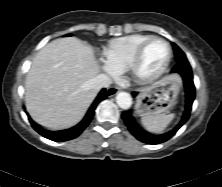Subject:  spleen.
Returning a JSON list of instances; mask_svg holds the SVG:
<instances>
[{
    "instance_id": "3e777b00",
    "label": "spleen",
    "mask_w": 222,
    "mask_h": 187,
    "mask_svg": "<svg viewBox=\"0 0 222 187\" xmlns=\"http://www.w3.org/2000/svg\"><path fill=\"white\" fill-rule=\"evenodd\" d=\"M174 114H161V115H145L141 121L143 126L152 133H162L165 128L174 119Z\"/></svg>"
}]
</instances>
